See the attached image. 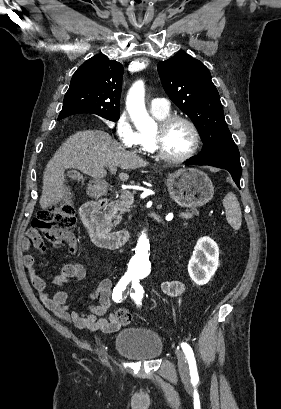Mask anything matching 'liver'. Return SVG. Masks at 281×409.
<instances>
[{
  "label": "liver",
  "mask_w": 281,
  "mask_h": 409,
  "mask_svg": "<svg viewBox=\"0 0 281 409\" xmlns=\"http://www.w3.org/2000/svg\"><path fill=\"white\" fill-rule=\"evenodd\" d=\"M149 162L137 156L134 152H126L119 148L116 140L104 130H78L69 136L62 146L50 158L43 174L40 207L47 209L59 202L61 198L72 194L67 192L64 184L66 168H78L84 174H89L96 180H101L107 174L104 166L109 168H139L147 166ZM120 180H128L127 172H120Z\"/></svg>",
  "instance_id": "6515ba94"
}]
</instances>
